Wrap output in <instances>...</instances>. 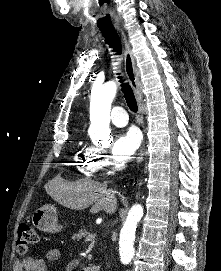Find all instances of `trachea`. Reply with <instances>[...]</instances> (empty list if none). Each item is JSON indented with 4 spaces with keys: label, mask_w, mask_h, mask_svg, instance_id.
I'll use <instances>...</instances> for the list:
<instances>
[{
    "label": "trachea",
    "mask_w": 221,
    "mask_h": 271,
    "mask_svg": "<svg viewBox=\"0 0 221 271\" xmlns=\"http://www.w3.org/2000/svg\"><path fill=\"white\" fill-rule=\"evenodd\" d=\"M107 45H109L111 48H113V51L117 54H121V40L115 31L113 27H99ZM118 78L121 83V90L123 92L124 98L127 102L128 107L131 111L136 113L138 111V105L136 98L134 96L133 90L129 83H126L125 80H123L122 76H120V73H118Z\"/></svg>",
    "instance_id": "trachea-1"
}]
</instances>
